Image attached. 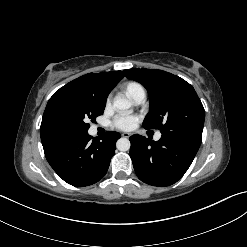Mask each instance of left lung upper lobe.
<instances>
[{
	"mask_svg": "<svg viewBox=\"0 0 247 247\" xmlns=\"http://www.w3.org/2000/svg\"><path fill=\"white\" fill-rule=\"evenodd\" d=\"M124 73L148 91L150 109L143 121L145 129H159L162 134L201 144L205 111L188 82L156 69H126Z\"/></svg>",
	"mask_w": 247,
	"mask_h": 247,
	"instance_id": "5c2ea615",
	"label": "left lung upper lobe"
}]
</instances>
